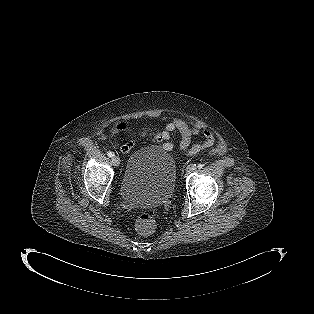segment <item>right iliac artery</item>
<instances>
[{
  "label": "right iliac artery",
  "mask_w": 314,
  "mask_h": 314,
  "mask_svg": "<svg viewBox=\"0 0 314 314\" xmlns=\"http://www.w3.org/2000/svg\"><path fill=\"white\" fill-rule=\"evenodd\" d=\"M107 155H108L109 157H113V156H114L113 152H108Z\"/></svg>",
  "instance_id": "1"
}]
</instances>
